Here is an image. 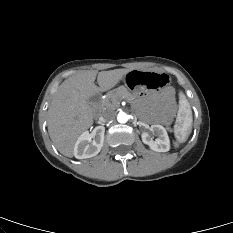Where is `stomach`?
Listing matches in <instances>:
<instances>
[{"label":"stomach","mask_w":233,"mask_h":233,"mask_svg":"<svg viewBox=\"0 0 233 233\" xmlns=\"http://www.w3.org/2000/svg\"><path fill=\"white\" fill-rule=\"evenodd\" d=\"M170 77L165 72L151 70H136L126 74L124 85L127 90L140 95L150 93L162 87L168 86Z\"/></svg>","instance_id":"1"}]
</instances>
